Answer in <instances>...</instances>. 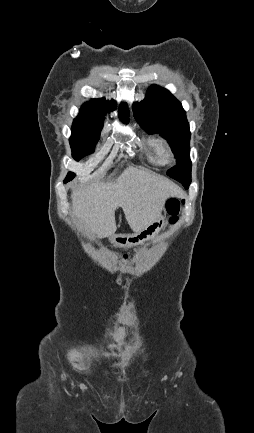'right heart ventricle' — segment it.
<instances>
[{
  "instance_id": "right-heart-ventricle-1",
  "label": "right heart ventricle",
  "mask_w": 254,
  "mask_h": 433,
  "mask_svg": "<svg viewBox=\"0 0 254 433\" xmlns=\"http://www.w3.org/2000/svg\"><path fill=\"white\" fill-rule=\"evenodd\" d=\"M144 147L148 161L156 166H162L166 163L164 158L165 145L162 140L153 136H147L144 139Z\"/></svg>"
}]
</instances>
